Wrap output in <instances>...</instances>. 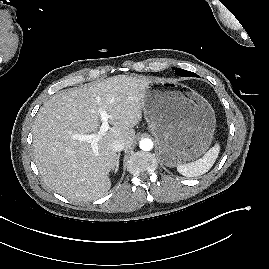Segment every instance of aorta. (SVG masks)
<instances>
[{"label": "aorta", "instance_id": "obj_1", "mask_svg": "<svg viewBox=\"0 0 269 269\" xmlns=\"http://www.w3.org/2000/svg\"><path fill=\"white\" fill-rule=\"evenodd\" d=\"M139 147L143 151H150L153 148V142L149 138H144L139 142Z\"/></svg>", "mask_w": 269, "mask_h": 269}]
</instances>
